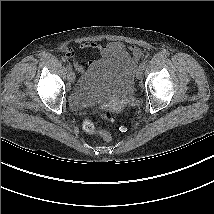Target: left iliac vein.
I'll return each instance as SVG.
<instances>
[{
  "instance_id": "1",
  "label": "left iliac vein",
  "mask_w": 214,
  "mask_h": 214,
  "mask_svg": "<svg viewBox=\"0 0 214 214\" xmlns=\"http://www.w3.org/2000/svg\"><path fill=\"white\" fill-rule=\"evenodd\" d=\"M135 75H136V77H137L138 79H140V78L142 77V75H143V68L138 67V69H137L136 72H135Z\"/></svg>"
}]
</instances>
